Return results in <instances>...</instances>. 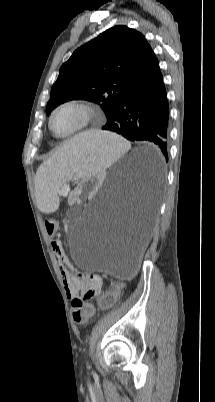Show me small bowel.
Instances as JSON below:
<instances>
[{
  "mask_svg": "<svg viewBox=\"0 0 215 402\" xmlns=\"http://www.w3.org/2000/svg\"><path fill=\"white\" fill-rule=\"evenodd\" d=\"M51 247L60 265L63 283L69 297L75 299L76 297H84L90 292L94 294L102 293V278L99 275L92 274L91 277H87L71 274L63 267V263L67 261V257L61 241L52 238Z\"/></svg>",
  "mask_w": 215,
  "mask_h": 402,
  "instance_id": "obj_1",
  "label": "small bowel"
}]
</instances>
